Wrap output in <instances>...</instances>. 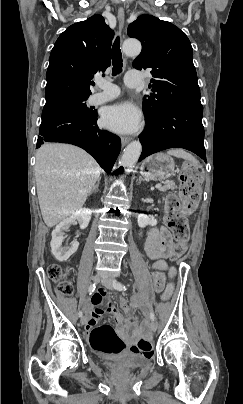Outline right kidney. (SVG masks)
<instances>
[{
    "instance_id": "right-kidney-1",
    "label": "right kidney",
    "mask_w": 243,
    "mask_h": 404,
    "mask_svg": "<svg viewBox=\"0 0 243 404\" xmlns=\"http://www.w3.org/2000/svg\"><path fill=\"white\" fill-rule=\"evenodd\" d=\"M91 216V210H88V208H81V210L73 212L70 218H65V220H62V222L56 226L51 234L52 240L50 242L51 252L56 260H59V262H67L68 258L77 252L79 242H73L70 246H62L64 232L69 230L71 224H73L75 220L81 222L80 228L81 230H85L91 220Z\"/></svg>"
}]
</instances>
